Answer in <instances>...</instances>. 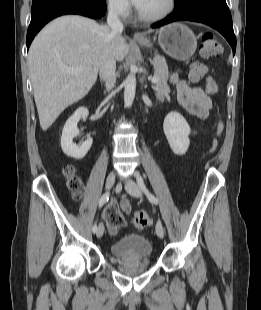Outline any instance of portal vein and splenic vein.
Wrapping results in <instances>:
<instances>
[{
	"instance_id": "portal-vein-and-splenic-vein-1",
	"label": "portal vein and splenic vein",
	"mask_w": 261,
	"mask_h": 310,
	"mask_svg": "<svg viewBox=\"0 0 261 310\" xmlns=\"http://www.w3.org/2000/svg\"><path fill=\"white\" fill-rule=\"evenodd\" d=\"M81 70H82V68H80V67H78V68H65V71L67 73H78ZM151 82L153 84H156L158 82V78L157 77H152L151 78Z\"/></svg>"
}]
</instances>
